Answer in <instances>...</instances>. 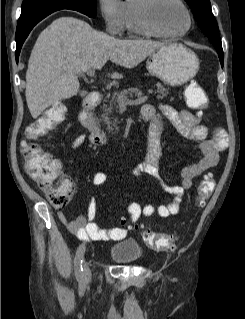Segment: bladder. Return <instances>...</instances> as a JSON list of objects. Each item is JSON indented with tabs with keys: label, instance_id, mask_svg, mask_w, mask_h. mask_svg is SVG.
I'll use <instances>...</instances> for the list:
<instances>
[{
	"label": "bladder",
	"instance_id": "1",
	"mask_svg": "<svg viewBox=\"0 0 245 319\" xmlns=\"http://www.w3.org/2000/svg\"><path fill=\"white\" fill-rule=\"evenodd\" d=\"M109 256L116 263L134 264L142 259L143 252L135 239L122 238L110 248Z\"/></svg>",
	"mask_w": 245,
	"mask_h": 319
}]
</instances>
